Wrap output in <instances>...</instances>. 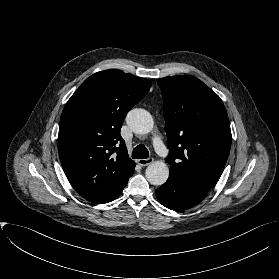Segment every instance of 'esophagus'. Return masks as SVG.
<instances>
[{
  "label": "esophagus",
  "mask_w": 279,
  "mask_h": 279,
  "mask_svg": "<svg viewBox=\"0 0 279 279\" xmlns=\"http://www.w3.org/2000/svg\"><path fill=\"white\" fill-rule=\"evenodd\" d=\"M154 159L153 158H147V159H139L137 160V163L144 167V166H148L150 165L151 163H153Z\"/></svg>",
  "instance_id": "34e87169"
}]
</instances>
